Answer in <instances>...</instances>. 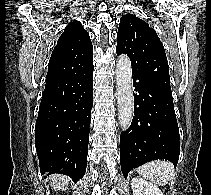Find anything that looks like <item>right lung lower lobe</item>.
Instances as JSON below:
<instances>
[{
	"instance_id": "1",
	"label": "right lung lower lobe",
	"mask_w": 211,
	"mask_h": 195,
	"mask_svg": "<svg viewBox=\"0 0 211 195\" xmlns=\"http://www.w3.org/2000/svg\"><path fill=\"white\" fill-rule=\"evenodd\" d=\"M93 64L46 82L36 121L35 146L41 174L60 173L77 181L87 166Z\"/></svg>"
}]
</instances>
